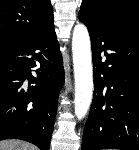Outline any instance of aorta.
<instances>
[{
	"instance_id": "762f6f07",
	"label": "aorta",
	"mask_w": 139,
	"mask_h": 150,
	"mask_svg": "<svg viewBox=\"0 0 139 150\" xmlns=\"http://www.w3.org/2000/svg\"><path fill=\"white\" fill-rule=\"evenodd\" d=\"M72 52L75 78V115L81 120L87 114L93 96V67L88 30L82 23L73 30Z\"/></svg>"
}]
</instances>
